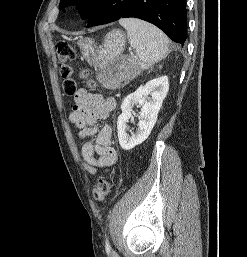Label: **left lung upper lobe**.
<instances>
[{
    "mask_svg": "<svg viewBox=\"0 0 247 257\" xmlns=\"http://www.w3.org/2000/svg\"><path fill=\"white\" fill-rule=\"evenodd\" d=\"M103 0H61L59 8L65 12V7L77 4L81 7L82 19H88Z\"/></svg>",
    "mask_w": 247,
    "mask_h": 257,
    "instance_id": "left-lung-upper-lobe-1",
    "label": "left lung upper lobe"
}]
</instances>
